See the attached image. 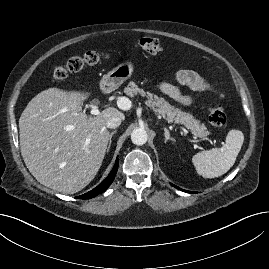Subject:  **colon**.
Returning a JSON list of instances; mask_svg holds the SVG:
<instances>
[{"label": "colon", "mask_w": 269, "mask_h": 269, "mask_svg": "<svg viewBox=\"0 0 269 269\" xmlns=\"http://www.w3.org/2000/svg\"><path fill=\"white\" fill-rule=\"evenodd\" d=\"M136 50L144 51L150 54H157L163 51V43L161 40L153 37L141 38ZM111 58L108 53L98 51H86L80 55L70 57L65 63L56 65L52 70V78L55 81L65 79L69 74L77 73L87 66H94ZM209 123L215 128H222L227 121L226 114L219 106H210L208 108Z\"/></svg>", "instance_id": "obj_1"}]
</instances>
